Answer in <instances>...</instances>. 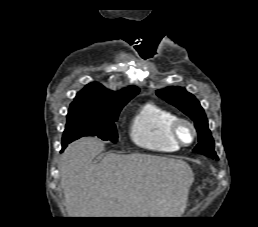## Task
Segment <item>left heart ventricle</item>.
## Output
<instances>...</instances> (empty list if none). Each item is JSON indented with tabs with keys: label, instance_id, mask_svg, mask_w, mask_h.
Returning <instances> with one entry per match:
<instances>
[{
	"label": "left heart ventricle",
	"instance_id": "left-heart-ventricle-1",
	"mask_svg": "<svg viewBox=\"0 0 258 227\" xmlns=\"http://www.w3.org/2000/svg\"><path fill=\"white\" fill-rule=\"evenodd\" d=\"M181 137L184 141L188 142L191 139V131L188 127H182Z\"/></svg>",
	"mask_w": 258,
	"mask_h": 227
}]
</instances>
